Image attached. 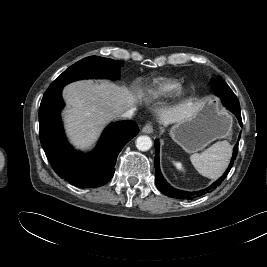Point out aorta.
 I'll list each match as a JSON object with an SVG mask.
<instances>
[{"label": "aorta", "instance_id": "762f6f07", "mask_svg": "<svg viewBox=\"0 0 267 267\" xmlns=\"http://www.w3.org/2000/svg\"><path fill=\"white\" fill-rule=\"evenodd\" d=\"M136 146L140 151H147L152 147V140L149 136H139L136 139Z\"/></svg>", "mask_w": 267, "mask_h": 267}]
</instances>
